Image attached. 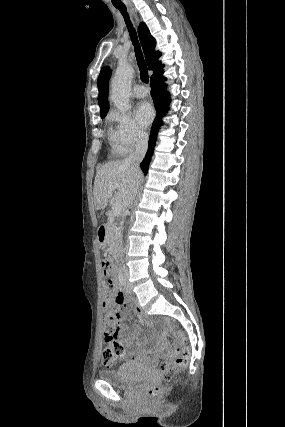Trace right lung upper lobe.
<instances>
[{
	"label": "right lung upper lobe",
	"mask_w": 285,
	"mask_h": 427,
	"mask_svg": "<svg viewBox=\"0 0 285 427\" xmlns=\"http://www.w3.org/2000/svg\"><path fill=\"white\" fill-rule=\"evenodd\" d=\"M138 34L140 42L145 54V59L148 65L149 70L153 71L151 79L162 76L163 64L158 61V58L161 56L159 51H155L156 41L151 36L147 26L144 23H141L138 27ZM111 71L109 67H104L98 77L97 85L99 90L98 102L100 106V115L105 117L109 109L108 104V81L110 78Z\"/></svg>",
	"instance_id": "1"
}]
</instances>
